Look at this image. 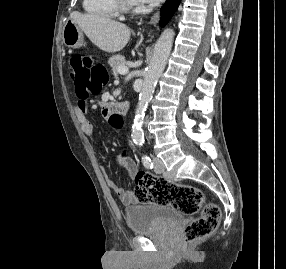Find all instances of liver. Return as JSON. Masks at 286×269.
Segmentation results:
<instances>
[{"label": "liver", "instance_id": "obj_1", "mask_svg": "<svg viewBox=\"0 0 286 269\" xmlns=\"http://www.w3.org/2000/svg\"><path fill=\"white\" fill-rule=\"evenodd\" d=\"M93 44L107 53L121 51L130 39L131 31L123 23L97 14L73 12L70 15Z\"/></svg>", "mask_w": 286, "mask_h": 269}]
</instances>
